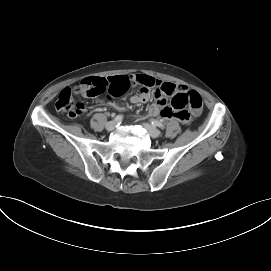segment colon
<instances>
[{"instance_id":"5ec220e1","label":"colon","mask_w":271,"mask_h":271,"mask_svg":"<svg viewBox=\"0 0 271 271\" xmlns=\"http://www.w3.org/2000/svg\"><path fill=\"white\" fill-rule=\"evenodd\" d=\"M92 84H96V82ZM81 88L82 84L76 85L73 88H64L55 103L56 109L68 114L70 117L81 115L85 111V106L77 102L73 97V94L80 93ZM172 105L180 110H184L186 106H189L195 114H198L202 109L203 99L198 92L188 91L185 94H176L172 99ZM187 117L186 114H183V118Z\"/></svg>"}]
</instances>
